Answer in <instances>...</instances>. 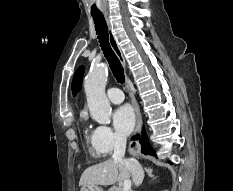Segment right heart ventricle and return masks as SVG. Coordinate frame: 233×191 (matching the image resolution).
Here are the masks:
<instances>
[{
	"label": "right heart ventricle",
	"mask_w": 233,
	"mask_h": 191,
	"mask_svg": "<svg viewBox=\"0 0 233 191\" xmlns=\"http://www.w3.org/2000/svg\"><path fill=\"white\" fill-rule=\"evenodd\" d=\"M85 139L89 144V151L90 154L95 157V158H100L103 154L102 152L98 149L96 142H95V130L91 131L89 129L85 130Z\"/></svg>",
	"instance_id": "1"
}]
</instances>
